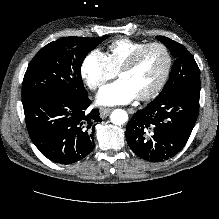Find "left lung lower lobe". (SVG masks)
I'll return each mask as SVG.
<instances>
[{
    "label": "left lung lower lobe",
    "mask_w": 219,
    "mask_h": 219,
    "mask_svg": "<svg viewBox=\"0 0 219 219\" xmlns=\"http://www.w3.org/2000/svg\"><path fill=\"white\" fill-rule=\"evenodd\" d=\"M200 86L183 87L155 98L128 122L126 140L139 157L158 162L175 156L186 144L199 111Z\"/></svg>",
    "instance_id": "1"
}]
</instances>
